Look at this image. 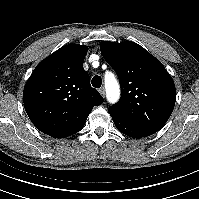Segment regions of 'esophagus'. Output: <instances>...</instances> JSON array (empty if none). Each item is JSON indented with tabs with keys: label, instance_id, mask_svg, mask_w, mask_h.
I'll use <instances>...</instances> for the list:
<instances>
[{
	"label": "esophagus",
	"instance_id": "34e87169",
	"mask_svg": "<svg viewBox=\"0 0 199 199\" xmlns=\"http://www.w3.org/2000/svg\"><path fill=\"white\" fill-rule=\"evenodd\" d=\"M99 93L104 97L105 96V88L104 87H101V88H99Z\"/></svg>",
	"mask_w": 199,
	"mask_h": 199
}]
</instances>
